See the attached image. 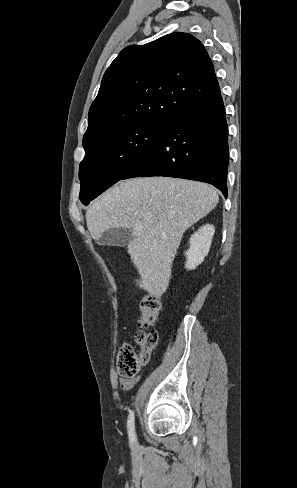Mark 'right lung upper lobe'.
<instances>
[{
    "label": "right lung upper lobe",
    "instance_id": "obj_1",
    "mask_svg": "<svg viewBox=\"0 0 297 488\" xmlns=\"http://www.w3.org/2000/svg\"><path fill=\"white\" fill-rule=\"evenodd\" d=\"M219 93L212 61L194 36L176 32L128 46L103 76L83 147L132 124L171 122Z\"/></svg>",
    "mask_w": 297,
    "mask_h": 488
}]
</instances>
